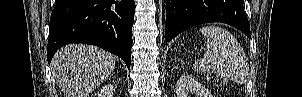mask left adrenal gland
<instances>
[{
  "label": "left adrenal gland",
  "instance_id": "1",
  "mask_svg": "<svg viewBox=\"0 0 302 97\" xmlns=\"http://www.w3.org/2000/svg\"><path fill=\"white\" fill-rule=\"evenodd\" d=\"M177 60H178V61H180V59H179V58H177ZM175 68H177V67H175V66H174V67H173V69H175Z\"/></svg>",
  "mask_w": 302,
  "mask_h": 97
}]
</instances>
